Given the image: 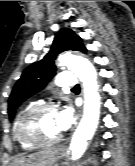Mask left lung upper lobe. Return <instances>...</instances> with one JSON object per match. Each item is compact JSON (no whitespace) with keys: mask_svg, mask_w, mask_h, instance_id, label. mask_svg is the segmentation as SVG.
Returning a JSON list of instances; mask_svg holds the SVG:
<instances>
[{"mask_svg":"<svg viewBox=\"0 0 135 166\" xmlns=\"http://www.w3.org/2000/svg\"><path fill=\"white\" fill-rule=\"evenodd\" d=\"M73 50L86 53L82 40L71 29H62L55 34L50 52L40 61L24 70L15 84L8 103L10 121L13 120L18 106L28 97L42 90L55 75L54 60L63 51Z\"/></svg>","mask_w":135,"mask_h":166,"instance_id":"1","label":"left lung upper lobe"}]
</instances>
